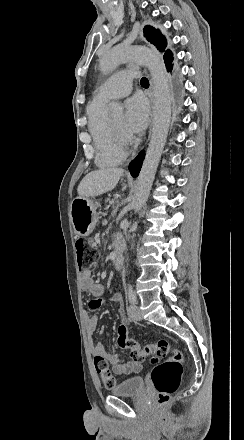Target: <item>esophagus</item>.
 <instances>
[{"instance_id": "obj_1", "label": "esophagus", "mask_w": 244, "mask_h": 440, "mask_svg": "<svg viewBox=\"0 0 244 440\" xmlns=\"http://www.w3.org/2000/svg\"><path fill=\"white\" fill-rule=\"evenodd\" d=\"M149 114H150V127L148 132V140L150 139L152 128H153V119H154V99L153 96L150 97V107H149Z\"/></svg>"}]
</instances>
